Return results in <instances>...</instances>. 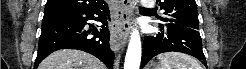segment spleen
<instances>
[{
  "mask_svg": "<svg viewBox=\"0 0 246 69\" xmlns=\"http://www.w3.org/2000/svg\"><path fill=\"white\" fill-rule=\"evenodd\" d=\"M162 69H201L199 63L189 55L167 52L158 56Z\"/></svg>",
  "mask_w": 246,
  "mask_h": 69,
  "instance_id": "obj_1",
  "label": "spleen"
}]
</instances>
